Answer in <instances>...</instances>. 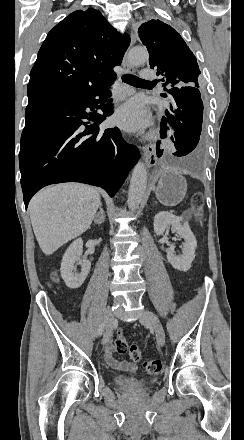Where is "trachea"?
Wrapping results in <instances>:
<instances>
[{"label":"trachea","instance_id":"3493384b","mask_svg":"<svg viewBox=\"0 0 244 440\" xmlns=\"http://www.w3.org/2000/svg\"><path fill=\"white\" fill-rule=\"evenodd\" d=\"M123 82L133 85V87H139L143 83H153L148 80H143V78L136 77V75H124L122 77Z\"/></svg>","mask_w":244,"mask_h":440}]
</instances>
